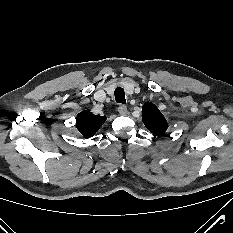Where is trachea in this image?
Segmentation results:
<instances>
[{"mask_svg":"<svg viewBox=\"0 0 233 233\" xmlns=\"http://www.w3.org/2000/svg\"><path fill=\"white\" fill-rule=\"evenodd\" d=\"M115 95V100L120 103V104H125L126 103V99H125V91L123 88L118 87L115 89L114 92Z\"/></svg>","mask_w":233,"mask_h":233,"instance_id":"obj_1","label":"trachea"}]
</instances>
